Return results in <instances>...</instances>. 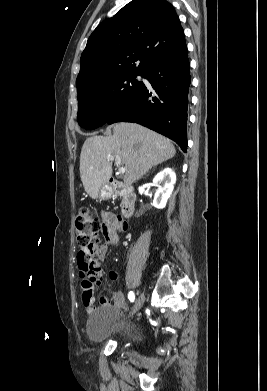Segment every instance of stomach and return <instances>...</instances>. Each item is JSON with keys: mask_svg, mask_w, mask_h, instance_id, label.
Returning <instances> with one entry per match:
<instances>
[{"mask_svg": "<svg viewBox=\"0 0 267 391\" xmlns=\"http://www.w3.org/2000/svg\"><path fill=\"white\" fill-rule=\"evenodd\" d=\"M112 194L113 188L109 184H105L99 189L97 198L101 200L108 199L112 196Z\"/></svg>", "mask_w": 267, "mask_h": 391, "instance_id": "0dacf381", "label": "stomach"}]
</instances>
